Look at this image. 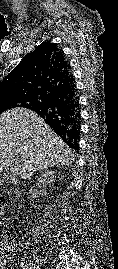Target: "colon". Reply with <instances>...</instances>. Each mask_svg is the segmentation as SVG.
I'll use <instances>...</instances> for the list:
<instances>
[{"instance_id": "obj_1", "label": "colon", "mask_w": 118, "mask_h": 269, "mask_svg": "<svg viewBox=\"0 0 118 269\" xmlns=\"http://www.w3.org/2000/svg\"><path fill=\"white\" fill-rule=\"evenodd\" d=\"M3 207L2 199H0V211ZM13 246V242L11 240H6L5 242L0 244V261L6 262L11 258V248Z\"/></svg>"}]
</instances>
